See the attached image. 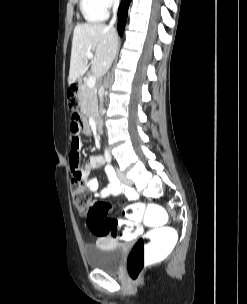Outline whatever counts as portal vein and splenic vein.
<instances>
[{
  "label": "portal vein and splenic vein",
  "mask_w": 247,
  "mask_h": 304,
  "mask_svg": "<svg viewBox=\"0 0 247 304\" xmlns=\"http://www.w3.org/2000/svg\"><path fill=\"white\" fill-rule=\"evenodd\" d=\"M86 57L88 59H93V53L90 52V51H88L86 53ZM95 83H96V77L95 76H89L88 79H87V85H88V87L91 88V89H94Z\"/></svg>",
  "instance_id": "18ae733b"
}]
</instances>
